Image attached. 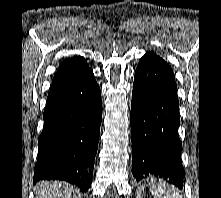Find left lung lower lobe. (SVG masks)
<instances>
[{"mask_svg": "<svg viewBox=\"0 0 221 198\" xmlns=\"http://www.w3.org/2000/svg\"><path fill=\"white\" fill-rule=\"evenodd\" d=\"M130 124L136 180L154 175L182 187L177 86L171 67L152 52L140 59L135 71Z\"/></svg>", "mask_w": 221, "mask_h": 198, "instance_id": "obj_1", "label": "left lung lower lobe"}]
</instances>
